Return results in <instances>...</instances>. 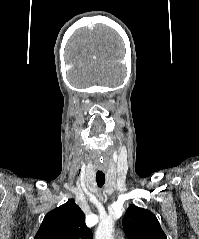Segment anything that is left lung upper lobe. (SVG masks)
Returning <instances> with one entry per match:
<instances>
[{
	"instance_id": "obj_1",
	"label": "left lung upper lobe",
	"mask_w": 199,
	"mask_h": 239,
	"mask_svg": "<svg viewBox=\"0 0 199 239\" xmlns=\"http://www.w3.org/2000/svg\"><path fill=\"white\" fill-rule=\"evenodd\" d=\"M122 222L128 239H167L156 216L149 210L130 205Z\"/></svg>"
}]
</instances>
